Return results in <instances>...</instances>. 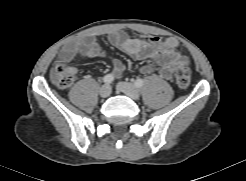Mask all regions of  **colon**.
Listing matches in <instances>:
<instances>
[{
	"label": "colon",
	"mask_w": 246,
	"mask_h": 181,
	"mask_svg": "<svg viewBox=\"0 0 246 181\" xmlns=\"http://www.w3.org/2000/svg\"><path fill=\"white\" fill-rule=\"evenodd\" d=\"M75 79V70L64 63L57 62L51 70L50 80L58 88L71 86ZM175 80L179 87L187 88L191 82V70L188 65H180L175 71Z\"/></svg>",
	"instance_id": "obj_1"
}]
</instances>
